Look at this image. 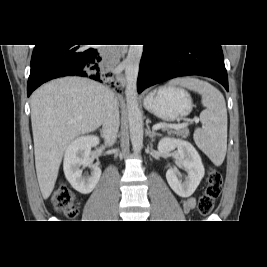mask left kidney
Wrapping results in <instances>:
<instances>
[{
    "label": "left kidney",
    "instance_id": "1",
    "mask_svg": "<svg viewBox=\"0 0 267 267\" xmlns=\"http://www.w3.org/2000/svg\"><path fill=\"white\" fill-rule=\"evenodd\" d=\"M177 148L179 156V165L187 171L184 180L177 177L176 169L170 168L166 172V179L172 190L180 197L186 198L191 196L205 174L200 155L194 146L180 139L164 137L158 143V150L161 153H169Z\"/></svg>",
    "mask_w": 267,
    "mask_h": 267
}]
</instances>
